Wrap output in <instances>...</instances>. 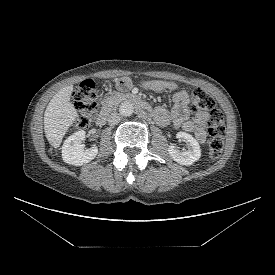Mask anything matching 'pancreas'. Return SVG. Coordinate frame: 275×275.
Instances as JSON below:
<instances>
[{
	"instance_id": "pancreas-1",
	"label": "pancreas",
	"mask_w": 275,
	"mask_h": 275,
	"mask_svg": "<svg viewBox=\"0 0 275 275\" xmlns=\"http://www.w3.org/2000/svg\"><path fill=\"white\" fill-rule=\"evenodd\" d=\"M129 97V94H123L119 92H113L110 96H106L102 101L103 106L113 107L118 105L121 101Z\"/></svg>"
}]
</instances>
